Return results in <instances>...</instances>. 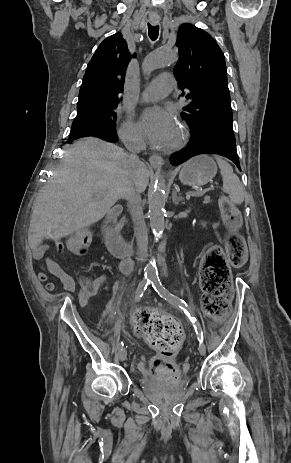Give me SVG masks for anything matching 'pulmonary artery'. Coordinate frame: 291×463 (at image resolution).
I'll return each instance as SVG.
<instances>
[{"instance_id":"e3ab8cb5","label":"pulmonary artery","mask_w":291,"mask_h":463,"mask_svg":"<svg viewBox=\"0 0 291 463\" xmlns=\"http://www.w3.org/2000/svg\"><path fill=\"white\" fill-rule=\"evenodd\" d=\"M175 87V79L170 74L157 76L142 92L140 101L151 102L168 96Z\"/></svg>"}]
</instances>
